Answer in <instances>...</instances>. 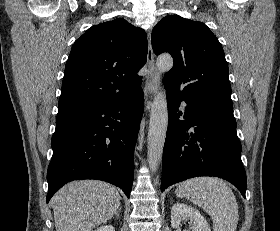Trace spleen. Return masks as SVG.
<instances>
[{"label": "spleen", "instance_id": "1", "mask_svg": "<svg viewBox=\"0 0 280 231\" xmlns=\"http://www.w3.org/2000/svg\"><path fill=\"white\" fill-rule=\"evenodd\" d=\"M176 195L203 207L213 219L214 231H235L239 219L238 205L224 179L192 177L179 183Z\"/></svg>", "mask_w": 280, "mask_h": 231}]
</instances>
